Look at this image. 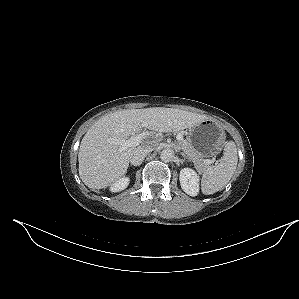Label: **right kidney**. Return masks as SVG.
<instances>
[{
    "label": "right kidney",
    "mask_w": 299,
    "mask_h": 299,
    "mask_svg": "<svg viewBox=\"0 0 299 299\" xmlns=\"http://www.w3.org/2000/svg\"><path fill=\"white\" fill-rule=\"evenodd\" d=\"M129 177H122L119 180H117L116 182H114L111 187H110V191L111 192H119L124 190L125 188H127V186L129 185Z\"/></svg>",
    "instance_id": "ca27d5eb"
}]
</instances>
